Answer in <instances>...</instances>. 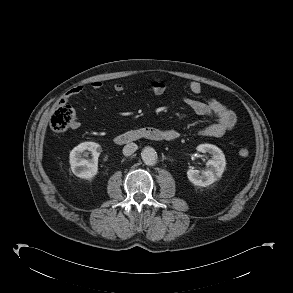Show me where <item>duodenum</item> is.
Here are the masks:
<instances>
[{
	"label": "duodenum",
	"mask_w": 293,
	"mask_h": 293,
	"mask_svg": "<svg viewBox=\"0 0 293 293\" xmlns=\"http://www.w3.org/2000/svg\"><path fill=\"white\" fill-rule=\"evenodd\" d=\"M142 138L153 141H170L175 139L172 134L166 131H162L155 127H144L120 133L114 138V141L118 145H125Z\"/></svg>",
	"instance_id": "1"
}]
</instances>
